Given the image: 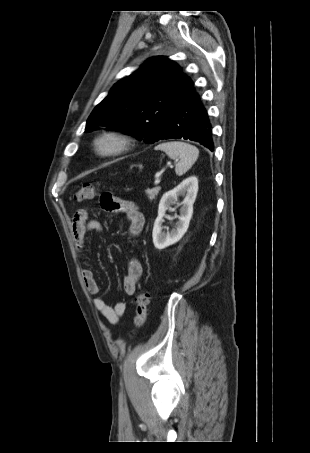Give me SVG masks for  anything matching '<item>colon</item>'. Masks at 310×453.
Returning <instances> with one entry per match:
<instances>
[{"mask_svg": "<svg viewBox=\"0 0 310 453\" xmlns=\"http://www.w3.org/2000/svg\"><path fill=\"white\" fill-rule=\"evenodd\" d=\"M97 193V186L95 184L86 183L81 185L75 192L74 199L78 202H83L92 199ZM101 206L108 210L113 206L114 197L111 194L101 195ZM149 303V293L141 291L135 298V315L133 323L135 327L140 328L146 322L147 307Z\"/></svg>", "mask_w": 310, "mask_h": 453, "instance_id": "1", "label": "colon"}]
</instances>
